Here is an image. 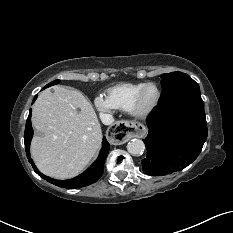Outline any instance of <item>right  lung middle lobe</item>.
<instances>
[{
	"instance_id": "right-lung-middle-lobe-1",
	"label": "right lung middle lobe",
	"mask_w": 233,
	"mask_h": 233,
	"mask_svg": "<svg viewBox=\"0 0 233 233\" xmlns=\"http://www.w3.org/2000/svg\"><path fill=\"white\" fill-rule=\"evenodd\" d=\"M59 82H60V80H55V81H53V82L47 84L43 89H45V88H47V87H50V86H52V85H56V84H58Z\"/></svg>"
}]
</instances>
